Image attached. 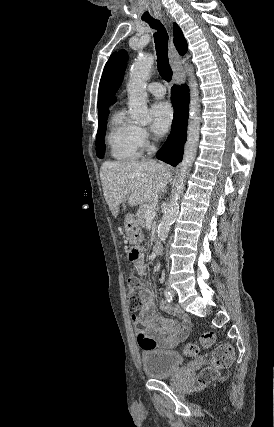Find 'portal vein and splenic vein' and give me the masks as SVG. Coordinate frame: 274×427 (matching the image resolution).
I'll use <instances>...</instances> for the list:
<instances>
[{
  "label": "portal vein and splenic vein",
  "mask_w": 274,
  "mask_h": 427,
  "mask_svg": "<svg viewBox=\"0 0 274 427\" xmlns=\"http://www.w3.org/2000/svg\"><path fill=\"white\" fill-rule=\"evenodd\" d=\"M127 194V192H125ZM156 204H152V206H148V210L145 212V219H153L154 215H156Z\"/></svg>",
  "instance_id": "18ae733b"
}]
</instances>
